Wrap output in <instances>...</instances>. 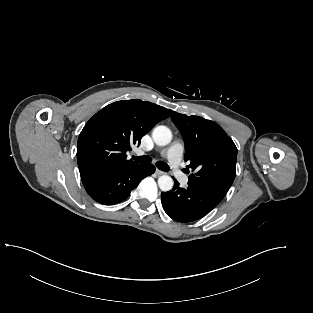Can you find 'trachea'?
Here are the masks:
<instances>
[{
    "instance_id": "3493384b",
    "label": "trachea",
    "mask_w": 313,
    "mask_h": 313,
    "mask_svg": "<svg viewBox=\"0 0 313 313\" xmlns=\"http://www.w3.org/2000/svg\"><path fill=\"white\" fill-rule=\"evenodd\" d=\"M133 159L142 164H148L151 163L152 161L151 157L149 156H138V157L133 156ZM156 166L158 169L162 171H169V166L165 162L158 161L156 163Z\"/></svg>"
}]
</instances>
